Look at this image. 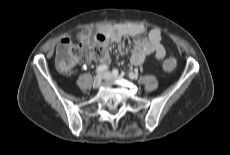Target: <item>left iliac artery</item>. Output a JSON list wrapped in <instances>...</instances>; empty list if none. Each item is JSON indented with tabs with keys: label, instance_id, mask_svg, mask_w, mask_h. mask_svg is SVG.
Wrapping results in <instances>:
<instances>
[{
	"label": "left iliac artery",
	"instance_id": "1",
	"mask_svg": "<svg viewBox=\"0 0 230 155\" xmlns=\"http://www.w3.org/2000/svg\"><path fill=\"white\" fill-rule=\"evenodd\" d=\"M112 73H113L114 76H118V75H119L118 69H114V70L112 71Z\"/></svg>",
	"mask_w": 230,
	"mask_h": 155
}]
</instances>
